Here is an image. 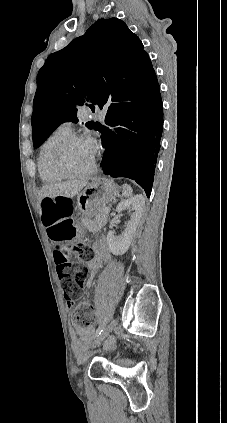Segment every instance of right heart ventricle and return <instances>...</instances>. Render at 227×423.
Returning <instances> with one entry per match:
<instances>
[{"label":"right heart ventricle","instance_id":"e07e8e85","mask_svg":"<svg viewBox=\"0 0 227 423\" xmlns=\"http://www.w3.org/2000/svg\"><path fill=\"white\" fill-rule=\"evenodd\" d=\"M71 135L72 133L60 127L53 131L41 144L37 156V168L44 183H56L64 178L53 167L51 156L56 146Z\"/></svg>","mask_w":227,"mask_h":423}]
</instances>
